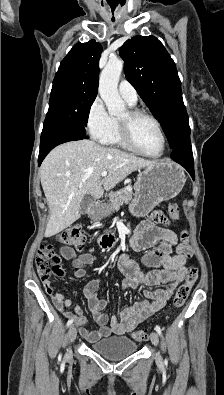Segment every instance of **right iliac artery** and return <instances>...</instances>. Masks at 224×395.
Instances as JSON below:
<instances>
[{"label": "right iliac artery", "mask_w": 224, "mask_h": 395, "mask_svg": "<svg viewBox=\"0 0 224 395\" xmlns=\"http://www.w3.org/2000/svg\"><path fill=\"white\" fill-rule=\"evenodd\" d=\"M72 323H73V320H72V319L68 320V322H67V327H69Z\"/></svg>", "instance_id": "right-iliac-artery-1"}]
</instances>
